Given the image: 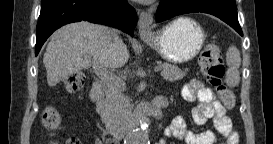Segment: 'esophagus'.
Returning a JSON list of instances; mask_svg holds the SVG:
<instances>
[{
    "mask_svg": "<svg viewBox=\"0 0 273 144\" xmlns=\"http://www.w3.org/2000/svg\"><path fill=\"white\" fill-rule=\"evenodd\" d=\"M153 22V15L151 13L141 11L139 13L138 30L140 36H148L152 33L151 25Z\"/></svg>",
    "mask_w": 273,
    "mask_h": 144,
    "instance_id": "esophagus-1",
    "label": "esophagus"
}]
</instances>
